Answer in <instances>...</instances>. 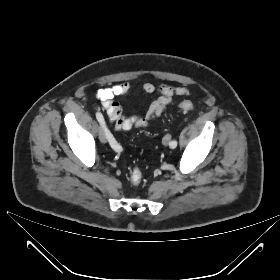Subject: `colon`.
Masks as SVG:
<instances>
[{
	"label": "colon",
	"instance_id": "1",
	"mask_svg": "<svg viewBox=\"0 0 280 280\" xmlns=\"http://www.w3.org/2000/svg\"><path fill=\"white\" fill-rule=\"evenodd\" d=\"M180 107L183 109V110H186V111H189V110H192L194 105L191 101H188V100H184L180 103ZM143 179V174L142 172L139 170V169H134L132 171V174H131V177H130V180L132 182V184L134 185H138L141 183Z\"/></svg>",
	"mask_w": 280,
	"mask_h": 280
}]
</instances>
